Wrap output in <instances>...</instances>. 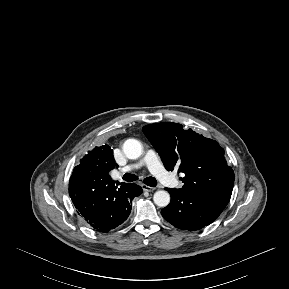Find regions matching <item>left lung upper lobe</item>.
Segmentation results:
<instances>
[{"instance_id":"left-lung-upper-lobe-1","label":"left lung upper lobe","mask_w":289,"mask_h":289,"mask_svg":"<svg viewBox=\"0 0 289 289\" xmlns=\"http://www.w3.org/2000/svg\"><path fill=\"white\" fill-rule=\"evenodd\" d=\"M143 132L160 154L166 169L175 168L185 174L180 178L184 185L177 190L226 207L235 176L218 142L172 122L146 125Z\"/></svg>"}]
</instances>
